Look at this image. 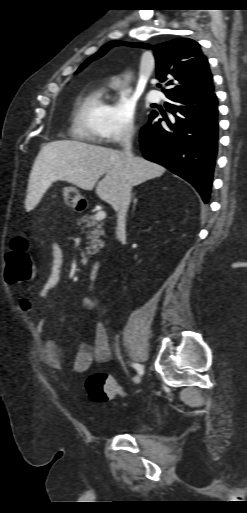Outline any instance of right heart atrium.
<instances>
[{
	"label": "right heart atrium",
	"instance_id": "1",
	"mask_svg": "<svg viewBox=\"0 0 247 513\" xmlns=\"http://www.w3.org/2000/svg\"><path fill=\"white\" fill-rule=\"evenodd\" d=\"M136 102L129 90L116 85V96L105 116L102 141L118 144L130 139L135 131Z\"/></svg>",
	"mask_w": 247,
	"mask_h": 513
}]
</instances>
